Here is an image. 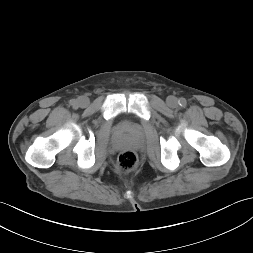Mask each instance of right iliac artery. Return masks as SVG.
<instances>
[{
  "mask_svg": "<svg viewBox=\"0 0 253 253\" xmlns=\"http://www.w3.org/2000/svg\"><path fill=\"white\" fill-rule=\"evenodd\" d=\"M70 104L73 105L74 107H77L78 106V103L76 100H71L70 101Z\"/></svg>",
  "mask_w": 253,
  "mask_h": 253,
  "instance_id": "1",
  "label": "right iliac artery"
}]
</instances>
